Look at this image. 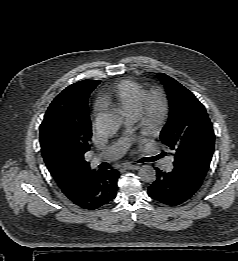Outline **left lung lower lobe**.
I'll use <instances>...</instances> for the list:
<instances>
[{
	"label": "left lung lower lobe",
	"instance_id": "0a47b994",
	"mask_svg": "<svg viewBox=\"0 0 238 261\" xmlns=\"http://www.w3.org/2000/svg\"><path fill=\"white\" fill-rule=\"evenodd\" d=\"M155 169L156 180L149 186L148 195L168 206H176L190 199L203 182V179L175 167L169 172Z\"/></svg>",
	"mask_w": 238,
	"mask_h": 261
}]
</instances>
